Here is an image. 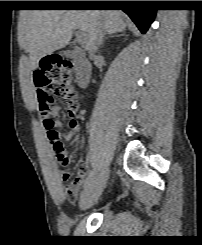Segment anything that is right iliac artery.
<instances>
[{
  "instance_id": "right-iliac-artery-1",
  "label": "right iliac artery",
  "mask_w": 202,
  "mask_h": 245,
  "mask_svg": "<svg viewBox=\"0 0 202 245\" xmlns=\"http://www.w3.org/2000/svg\"><path fill=\"white\" fill-rule=\"evenodd\" d=\"M96 170H94L91 175L86 179L85 183H84V189H86L88 186H90L93 182L94 179L96 178Z\"/></svg>"
}]
</instances>
